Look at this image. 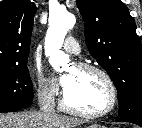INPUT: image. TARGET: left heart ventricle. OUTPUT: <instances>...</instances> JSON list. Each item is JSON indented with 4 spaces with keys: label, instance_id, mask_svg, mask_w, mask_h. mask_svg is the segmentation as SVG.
<instances>
[{
    "label": "left heart ventricle",
    "instance_id": "left-heart-ventricle-1",
    "mask_svg": "<svg viewBox=\"0 0 142 128\" xmlns=\"http://www.w3.org/2000/svg\"><path fill=\"white\" fill-rule=\"evenodd\" d=\"M67 74L72 78L70 86L65 89L69 105L87 112L102 111L109 105L110 90L100 74L76 67L70 68Z\"/></svg>",
    "mask_w": 142,
    "mask_h": 128
}]
</instances>
